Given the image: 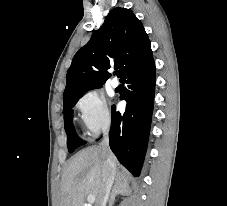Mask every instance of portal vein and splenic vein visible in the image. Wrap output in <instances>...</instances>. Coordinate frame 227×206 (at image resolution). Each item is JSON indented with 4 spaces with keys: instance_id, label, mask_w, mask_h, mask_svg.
<instances>
[{
    "instance_id": "portal-vein-and-splenic-vein-1",
    "label": "portal vein and splenic vein",
    "mask_w": 227,
    "mask_h": 206,
    "mask_svg": "<svg viewBox=\"0 0 227 206\" xmlns=\"http://www.w3.org/2000/svg\"><path fill=\"white\" fill-rule=\"evenodd\" d=\"M87 201H88V203H90V204L94 203V202H95V196L92 195V194H89V195L87 196Z\"/></svg>"
}]
</instances>
